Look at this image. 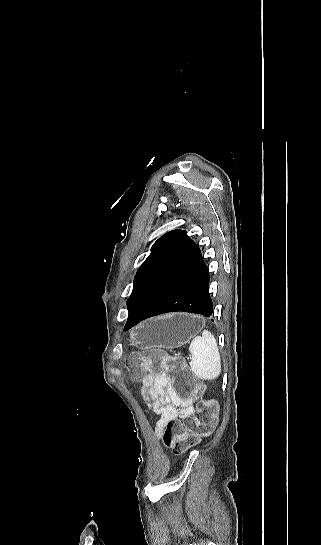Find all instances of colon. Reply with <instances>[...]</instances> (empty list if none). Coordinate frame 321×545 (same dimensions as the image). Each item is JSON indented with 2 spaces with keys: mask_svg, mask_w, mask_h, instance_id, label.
Masks as SVG:
<instances>
[{
  "mask_svg": "<svg viewBox=\"0 0 321 545\" xmlns=\"http://www.w3.org/2000/svg\"><path fill=\"white\" fill-rule=\"evenodd\" d=\"M135 379L167 378L171 388L184 399H197L196 412L184 422L168 421L163 428L164 444L175 454H184L209 436L216 426L217 406L212 400L202 398L204 391L200 380L191 373L178 357H166L149 351L144 355H133L127 360Z\"/></svg>",
  "mask_w": 321,
  "mask_h": 545,
  "instance_id": "1",
  "label": "colon"
}]
</instances>
